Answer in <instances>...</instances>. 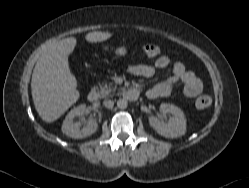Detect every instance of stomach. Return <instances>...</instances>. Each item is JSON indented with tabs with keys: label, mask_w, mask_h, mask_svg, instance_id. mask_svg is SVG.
<instances>
[{
	"label": "stomach",
	"mask_w": 249,
	"mask_h": 188,
	"mask_svg": "<svg viewBox=\"0 0 249 188\" xmlns=\"http://www.w3.org/2000/svg\"><path fill=\"white\" fill-rule=\"evenodd\" d=\"M127 50L125 47H119L115 50V54L118 56H124L126 54Z\"/></svg>",
	"instance_id": "1"
}]
</instances>
